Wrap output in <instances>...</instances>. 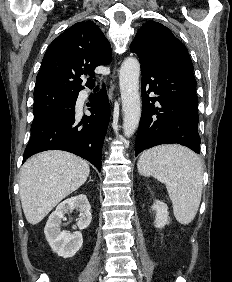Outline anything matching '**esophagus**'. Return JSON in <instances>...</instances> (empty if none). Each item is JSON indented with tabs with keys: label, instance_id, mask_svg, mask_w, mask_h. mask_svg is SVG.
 <instances>
[{
	"label": "esophagus",
	"instance_id": "1",
	"mask_svg": "<svg viewBox=\"0 0 232 282\" xmlns=\"http://www.w3.org/2000/svg\"><path fill=\"white\" fill-rule=\"evenodd\" d=\"M111 77H112V79H114V77H115V71H113ZM111 90H113V86L111 87Z\"/></svg>",
	"mask_w": 232,
	"mask_h": 282
}]
</instances>
